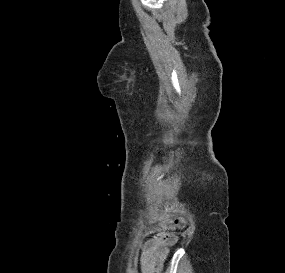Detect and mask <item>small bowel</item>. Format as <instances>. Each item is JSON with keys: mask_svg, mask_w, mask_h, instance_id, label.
I'll use <instances>...</instances> for the list:
<instances>
[{"mask_svg": "<svg viewBox=\"0 0 285 273\" xmlns=\"http://www.w3.org/2000/svg\"><path fill=\"white\" fill-rule=\"evenodd\" d=\"M163 227L170 229L173 227L170 221H164ZM177 241L175 235L167 233L154 238L146 243L141 254V268L143 273H154L169 254V248Z\"/></svg>", "mask_w": 285, "mask_h": 273, "instance_id": "obj_1", "label": "small bowel"}]
</instances>
